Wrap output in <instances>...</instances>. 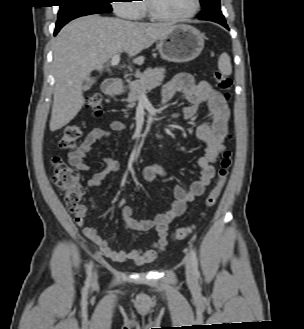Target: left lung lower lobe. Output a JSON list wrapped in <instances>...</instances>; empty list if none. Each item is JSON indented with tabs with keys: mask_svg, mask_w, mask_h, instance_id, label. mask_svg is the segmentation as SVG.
Returning a JSON list of instances; mask_svg holds the SVG:
<instances>
[{
	"mask_svg": "<svg viewBox=\"0 0 304 329\" xmlns=\"http://www.w3.org/2000/svg\"><path fill=\"white\" fill-rule=\"evenodd\" d=\"M198 19L213 21L229 29L220 10V0H212L208 5L203 7L198 15Z\"/></svg>",
	"mask_w": 304,
	"mask_h": 329,
	"instance_id": "left-lung-lower-lobe-1",
	"label": "left lung lower lobe"
}]
</instances>
